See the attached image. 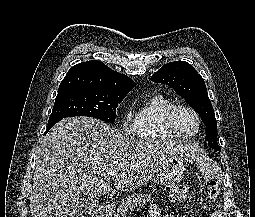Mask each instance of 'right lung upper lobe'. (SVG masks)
Masks as SVG:
<instances>
[{
  "label": "right lung upper lobe",
  "mask_w": 255,
  "mask_h": 217,
  "mask_svg": "<svg viewBox=\"0 0 255 217\" xmlns=\"http://www.w3.org/2000/svg\"><path fill=\"white\" fill-rule=\"evenodd\" d=\"M135 83L96 60L73 66L59 85L58 90L82 88L109 93H129Z\"/></svg>",
  "instance_id": "1"
}]
</instances>
